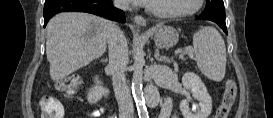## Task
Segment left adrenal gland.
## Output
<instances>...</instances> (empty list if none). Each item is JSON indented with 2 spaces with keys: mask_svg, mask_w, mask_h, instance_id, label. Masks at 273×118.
Wrapping results in <instances>:
<instances>
[{
  "mask_svg": "<svg viewBox=\"0 0 273 118\" xmlns=\"http://www.w3.org/2000/svg\"><path fill=\"white\" fill-rule=\"evenodd\" d=\"M155 59L159 62H166L167 61V58H165L164 56H160L158 49H156V51H155Z\"/></svg>",
  "mask_w": 273,
  "mask_h": 118,
  "instance_id": "left-adrenal-gland-1",
  "label": "left adrenal gland"
}]
</instances>
